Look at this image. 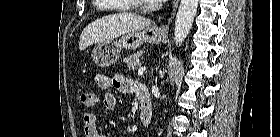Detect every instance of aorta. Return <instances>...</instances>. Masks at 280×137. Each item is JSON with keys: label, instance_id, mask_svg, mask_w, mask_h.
<instances>
[{"label": "aorta", "instance_id": "aorta-1", "mask_svg": "<svg viewBox=\"0 0 280 137\" xmlns=\"http://www.w3.org/2000/svg\"><path fill=\"white\" fill-rule=\"evenodd\" d=\"M198 0H181L174 29V41L180 46L185 40L192 27L194 17L197 13Z\"/></svg>", "mask_w": 280, "mask_h": 137}]
</instances>
